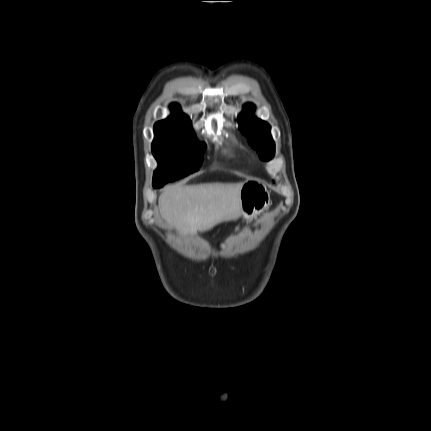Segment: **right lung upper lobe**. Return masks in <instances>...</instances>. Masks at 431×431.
<instances>
[{"instance_id": "1", "label": "right lung upper lobe", "mask_w": 431, "mask_h": 431, "mask_svg": "<svg viewBox=\"0 0 431 431\" xmlns=\"http://www.w3.org/2000/svg\"><path fill=\"white\" fill-rule=\"evenodd\" d=\"M170 109L172 110V114L167 119L157 122L155 126L192 131L190 119L186 114L181 112L180 106L173 103L170 105Z\"/></svg>"}]
</instances>
